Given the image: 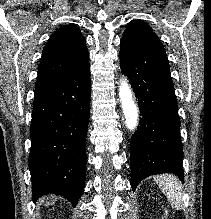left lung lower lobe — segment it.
<instances>
[{"label": "left lung lower lobe", "instance_id": "left-lung-lower-lobe-1", "mask_svg": "<svg viewBox=\"0 0 211 219\" xmlns=\"http://www.w3.org/2000/svg\"><path fill=\"white\" fill-rule=\"evenodd\" d=\"M119 57L142 116L130 145L132 189L144 178L165 172L183 180L181 123L165 49L121 40Z\"/></svg>", "mask_w": 211, "mask_h": 219}]
</instances>
